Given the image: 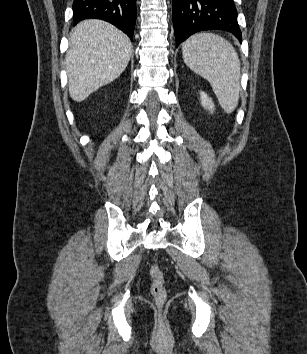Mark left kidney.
Masks as SVG:
<instances>
[{
    "mask_svg": "<svg viewBox=\"0 0 307 354\" xmlns=\"http://www.w3.org/2000/svg\"><path fill=\"white\" fill-rule=\"evenodd\" d=\"M200 100L202 106L209 110L211 113L214 111L215 106L214 103L212 102V99L208 97V95L205 92H200Z\"/></svg>",
    "mask_w": 307,
    "mask_h": 354,
    "instance_id": "left-kidney-1",
    "label": "left kidney"
}]
</instances>
